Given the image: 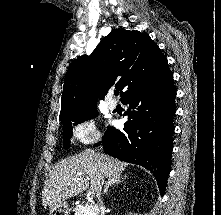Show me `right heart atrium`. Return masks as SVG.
Here are the masks:
<instances>
[{
    "label": "right heart atrium",
    "instance_id": "obj_1",
    "mask_svg": "<svg viewBox=\"0 0 221 215\" xmlns=\"http://www.w3.org/2000/svg\"><path fill=\"white\" fill-rule=\"evenodd\" d=\"M74 138L83 143L89 144L99 139V132L96 129L94 120L91 118L78 122L73 129Z\"/></svg>",
    "mask_w": 221,
    "mask_h": 215
}]
</instances>
